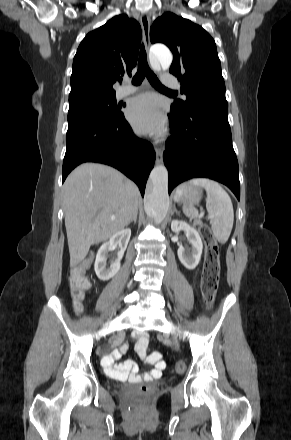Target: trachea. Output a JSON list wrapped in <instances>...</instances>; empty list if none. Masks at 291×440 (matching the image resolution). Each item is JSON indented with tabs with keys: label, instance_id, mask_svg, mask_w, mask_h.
Segmentation results:
<instances>
[{
	"label": "trachea",
	"instance_id": "1",
	"mask_svg": "<svg viewBox=\"0 0 291 440\" xmlns=\"http://www.w3.org/2000/svg\"><path fill=\"white\" fill-rule=\"evenodd\" d=\"M145 75L152 86L156 88H165L154 72L150 70L147 63L146 51L144 45L142 44L139 54L138 70L132 79V84L140 85L145 78Z\"/></svg>",
	"mask_w": 291,
	"mask_h": 440
}]
</instances>
